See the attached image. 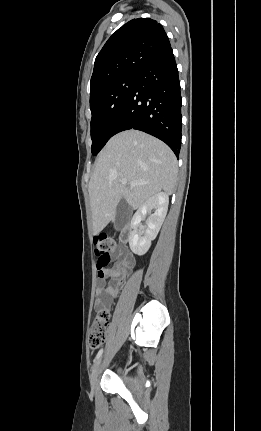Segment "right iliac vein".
Masks as SVG:
<instances>
[{"label":"right iliac vein","instance_id":"1","mask_svg":"<svg viewBox=\"0 0 261 431\" xmlns=\"http://www.w3.org/2000/svg\"><path fill=\"white\" fill-rule=\"evenodd\" d=\"M100 367H101V359H98L92 368V373L90 376V384H91L92 390H94L96 387Z\"/></svg>","mask_w":261,"mask_h":431}]
</instances>
